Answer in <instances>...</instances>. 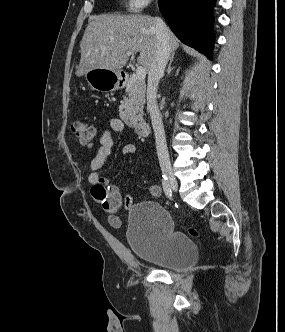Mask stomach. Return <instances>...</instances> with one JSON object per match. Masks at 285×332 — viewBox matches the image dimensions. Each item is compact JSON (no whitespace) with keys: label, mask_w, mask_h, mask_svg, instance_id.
Masks as SVG:
<instances>
[{"label":"stomach","mask_w":285,"mask_h":332,"mask_svg":"<svg viewBox=\"0 0 285 332\" xmlns=\"http://www.w3.org/2000/svg\"><path fill=\"white\" fill-rule=\"evenodd\" d=\"M121 71L103 68L91 69L85 73V79L92 90L99 92L114 91L120 87Z\"/></svg>","instance_id":"obj_1"}]
</instances>
